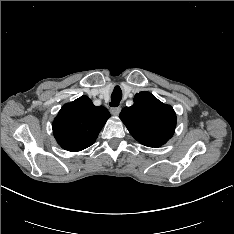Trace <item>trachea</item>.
I'll return each mask as SVG.
<instances>
[{"label": "trachea", "instance_id": "trachea-1", "mask_svg": "<svg viewBox=\"0 0 234 234\" xmlns=\"http://www.w3.org/2000/svg\"><path fill=\"white\" fill-rule=\"evenodd\" d=\"M122 99V91L119 87H115L114 91L111 94V102L109 105L111 107H117L119 106V103Z\"/></svg>", "mask_w": 234, "mask_h": 234}]
</instances>
